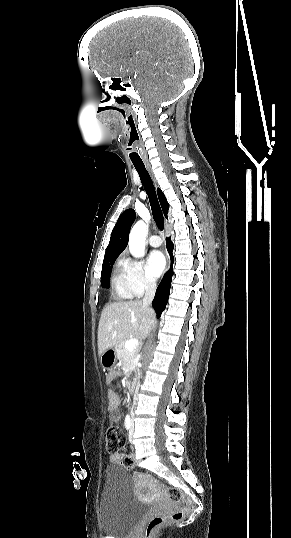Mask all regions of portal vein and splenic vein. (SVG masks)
Instances as JSON below:
<instances>
[{"mask_svg": "<svg viewBox=\"0 0 291 538\" xmlns=\"http://www.w3.org/2000/svg\"><path fill=\"white\" fill-rule=\"evenodd\" d=\"M139 344L138 339H131L125 343V348L129 350L135 349Z\"/></svg>", "mask_w": 291, "mask_h": 538, "instance_id": "18ae733b", "label": "portal vein and splenic vein"}]
</instances>
